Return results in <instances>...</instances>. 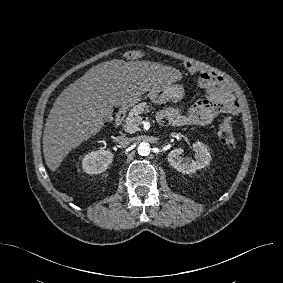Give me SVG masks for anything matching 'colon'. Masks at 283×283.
I'll return each mask as SVG.
<instances>
[{"label":"colon","instance_id":"1","mask_svg":"<svg viewBox=\"0 0 283 283\" xmlns=\"http://www.w3.org/2000/svg\"><path fill=\"white\" fill-rule=\"evenodd\" d=\"M218 137L220 141L229 149H235L238 146V141L233 134L232 118L226 114L221 120L218 127Z\"/></svg>","mask_w":283,"mask_h":283}]
</instances>
